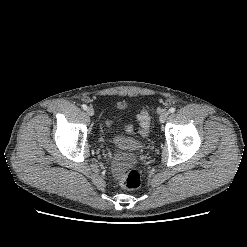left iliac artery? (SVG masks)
Here are the masks:
<instances>
[{
	"mask_svg": "<svg viewBox=\"0 0 247 247\" xmlns=\"http://www.w3.org/2000/svg\"><path fill=\"white\" fill-rule=\"evenodd\" d=\"M169 112H170V113H174V112H175V108H174V107H171V108L169 109Z\"/></svg>",
	"mask_w": 247,
	"mask_h": 247,
	"instance_id": "obj_1",
	"label": "left iliac artery"
}]
</instances>
